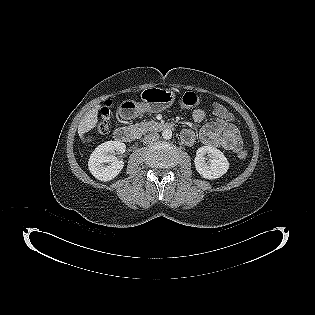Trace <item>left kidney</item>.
<instances>
[{
  "label": "left kidney",
  "instance_id": "1",
  "mask_svg": "<svg viewBox=\"0 0 315 315\" xmlns=\"http://www.w3.org/2000/svg\"><path fill=\"white\" fill-rule=\"evenodd\" d=\"M209 156L206 161L205 155ZM197 172L205 179H217L223 176L229 169V162L224 154L215 147L202 146L196 151L194 160Z\"/></svg>",
  "mask_w": 315,
  "mask_h": 315
}]
</instances>
